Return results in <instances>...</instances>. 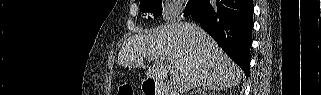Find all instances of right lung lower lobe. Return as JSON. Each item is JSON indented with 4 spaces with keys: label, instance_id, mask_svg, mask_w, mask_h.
I'll use <instances>...</instances> for the list:
<instances>
[{
    "label": "right lung lower lobe",
    "instance_id": "1",
    "mask_svg": "<svg viewBox=\"0 0 321 95\" xmlns=\"http://www.w3.org/2000/svg\"><path fill=\"white\" fill-rule=\"evenodd\" d=\"M203 0L191 17L211 35L228 56L249 75L252 45V0Z\"/></svg>",
    "mask_w": 321,
    "mask_h": 95
}]
</instances>
